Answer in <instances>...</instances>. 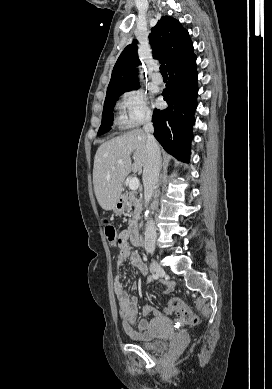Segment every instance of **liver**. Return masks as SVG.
<instances>
[{
    "mask_svg": "<svg viewBox=\"0 0 272 389\" xmlns=\"http://www.w3.org/2000/svg\"><path fill=\"white\" fill-rule=\"evenodd\" d=\"M146 141V133L141 129H135L104 142L97 149L93 185L102 209L106 211L113 209L121 196L123 182L131 171L142 173L147 160ZM118 160L122 162L118 163Z\"/></svg>",
    "mask_w": 272,
    "mask_h": 389,
    "instance_id": "6515ba94",
    "label": "liver"
}]
</instances>
